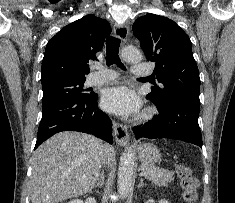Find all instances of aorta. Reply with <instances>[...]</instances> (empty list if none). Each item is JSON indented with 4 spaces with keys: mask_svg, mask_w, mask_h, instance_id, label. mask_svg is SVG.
Masks as SVG:
<instances>
[{
    "mask_svg": "<svg viewBox=\"0 0 235 203\" xmlns=\"http://www.w3.org/2000/svg\"><path fill=\"white\" fill-rule=\"evenodd\" d=\"M121 56L126 62L138 63L142 59L140 51L133 47H125L121 51ZM134 173V153L131 148H127L120 158L118 168V192L122 197H126L132 185Z\"/></svg>",
    "mask_w": 235,
    "mask_h": 203,
    "instance_id": "1",
    "label": "aorta"
}]
</instances>
